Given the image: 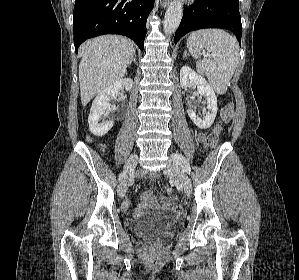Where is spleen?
<instances>
[{"label": "spleen", "instance_id": "obj_1", "mask_svg": "<svg viewBox=\"0 0 299 280\" xmlns=\"http://www.w3.org/2000/svg\"><path fill=\"white\" fill-rule=\"evenodd\" d=\"M187 47L195 59L202 55V50L212 53L213 60L203 55L201 67L214 91L225 94L239 60L236 40L223 30L203 29L190 34Z\"/></svg>", "mask_w": 299, "mask_h": 280}]
</instances>
